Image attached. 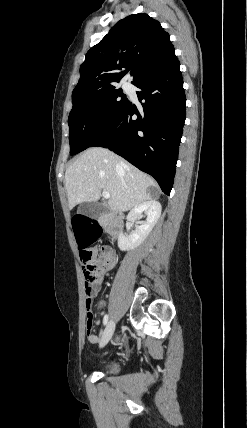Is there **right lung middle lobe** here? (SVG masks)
Listing matches in <instances>:
<instances>
[{
    "mask_svg": "<svg viewBox=\"0 0 247 428\" xmlns=\"http://www.w3.org/2000/svg\"><path fill=\"white\" fill-rule=\"evenodd\" d=\"M73 100L69 114L70 154L92 145L122 114L129 100L115 87L84 94Z\"/></svg>",
    "mask_w": 247,
    "mask_h": 428,
    "instance_id": "right-lung-middle-lobe-1",
    "label": "right lung middle lobe"
}]
</instances>
